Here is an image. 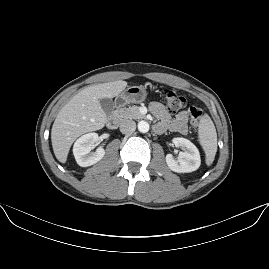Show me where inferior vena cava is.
<instances>
[{"mask_svg": "<svg viewBox=\"0 0 269 269\" xmlns=\"http://www.w3.org/2000/svg\"><path fill=\"white\" fill-rule=\"evenodd\" d=\"M135 129L136 123L133 120H124L119 127L120 132L123 134L132 133Z\"/></svg>", "mask_w": 269, "mask_h": 269, "instance_id": "602c4592", "label": "inferior vena cava"}]
</instances>
